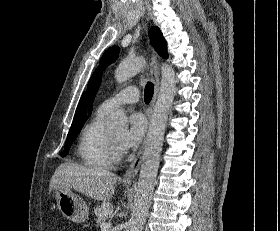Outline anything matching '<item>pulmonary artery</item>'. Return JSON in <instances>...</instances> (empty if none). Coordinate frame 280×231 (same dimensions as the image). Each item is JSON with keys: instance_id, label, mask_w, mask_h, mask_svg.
Wrapping results in <instances>:
<instances>
[{"instance_id": "1", "label": "pulmonary artery", "mask_w": 280, "mask_h": 231, "mask_svg": "<svg viewBox=\"0 0 280 231\" xmlns=\"http://www.w3.org/2000/svg\"><path fill=\"white\" fill-rule=\"evenodd\" d=\"M139 90L135 86L127 87L121 90L113 97L106 99L99 106V111L108 113L124 104H133L139 100Z\"/></svg>"}]
</instances>
